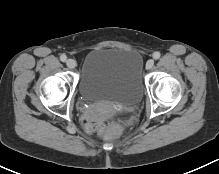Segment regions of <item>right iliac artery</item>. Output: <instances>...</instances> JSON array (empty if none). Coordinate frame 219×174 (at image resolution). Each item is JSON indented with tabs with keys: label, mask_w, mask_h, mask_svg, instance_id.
<instances>
[{
	"label": "right iliac artery",
	"mask_w": 219,
	"mask_h": 174,
	"mask_svg": "<svg viewBox=\"0 0 219 174\" xmlns=\"http://www.w3.org/2000/svg\"><path fill=\"white\" fill-rule=\"evenodd\" d=\"M60 60H61L62 62H65V61L67 60L66 55H65V54H62V55L60 56Z\"/></svg>",
	"instance_id": "obj_1"
}]
</instances>
